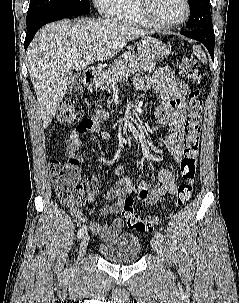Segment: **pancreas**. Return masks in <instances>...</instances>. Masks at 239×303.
Returning <instances> with one entry per match:
<instances>
[{
	"instance_id": "cf45deb5",
	"label": "pancreas",
	"mask_w": 239,
	"mask_h": 303,
	"mask_svg": "<svg viewBox=\"0 0 239 303\" xmlns=\"http://www.w3.org/2000/svg\"><path fill=\"white\" fill-rule=\"evenodd\" d=\"M155 64L147 59L141 58L135 52H123L118 59L112 63L108 70L103 72L102 82L105 89L110 90L118 81L137 71H149Z\"/></svg>"
}]
</instances>
